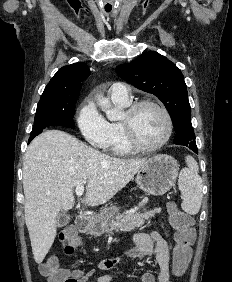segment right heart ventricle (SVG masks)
I'll use <instances>...</instances> for the list:
<instances>
[{"instance_id":"right-heart-ventricle-1","label":"right heart ventricle","mask_w":232,"mask_h":282,"mask_svg":"<svg viewBox=\"0 0 232 282\" xmlns=\"http://www.w3.org/2000/svg\"><path fill=\"white\" fill-rule=\"evenodd\" d=\"M115 104L122 108H126L130 105V100H120L112 98ZM109 125V141L106 149H108L114 155H128L134 150L129 146L125 139L124 131L121 121L108 122Z\"/></svg>"}]
</instances>
